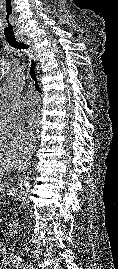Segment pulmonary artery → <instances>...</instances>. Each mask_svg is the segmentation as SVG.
Masks as SVG:
<instances>
[{
    "label": "pulmonary artery",
    "mask_w": 118,
    "mask_h": 269,
    "mask_svg": "<svg viewBox=\"0 0 118 269\" xmlns=\"http://www.w3.org/2000/svg\"><path fill=\"white\" fill-rule=\"evenodd\" d=\"M39 98L36 95H33L31 92H28L25 96V104L28 106L37 105Z\"/></svg>",
    "instance_id": "e3ab8cb5"
}]
</instances>
